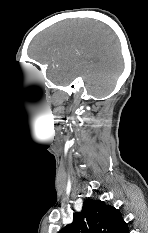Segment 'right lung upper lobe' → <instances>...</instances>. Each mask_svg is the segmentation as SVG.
Returning <instances> with one entry per match:
<instances>
[{
  "label": "right lung upper lobe",
  "mask_w": 148,
  "mask_h": 233,
  "mask_svg": "<svg viewBox=\"0 0 148 233\" xmlns=\"http://www.w3.org/2000/svg\"><path fill=\"white\" fill-rule=\"evenodd\" d=\"M59 233H129L121 213L100 200L87 199L81 212L73 215V222Z\"/></svg>",
  "instance_id": "obj_1"
}]
</instances>
